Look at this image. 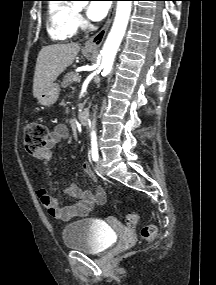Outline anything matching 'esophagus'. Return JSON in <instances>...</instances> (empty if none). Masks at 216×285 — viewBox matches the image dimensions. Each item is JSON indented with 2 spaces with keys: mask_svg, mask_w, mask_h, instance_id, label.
Masks as SVG:
<instances>
[{
  "mask_svg": "<svg viewBox=\"0 0 216 285\" xmlns=\"http://www.w3.org/2000/svg\"><path fill=\"white\" fill-rule=\"evenodd\" d=\"M114 11H115V5L113 4L110 11H109V14H108V17H107V20L105 22V24L103 25V27L95 34L93 35L84 45V48L87 49V50H94V49H97L101 46V44L103 43L104 39H105V36L108 32V29L110 27V24L112 22V18L114 16Z\"/></svg>",
  "mask_w": 216,
  "mask_h": 285,
  "instance_id": "1",
  "label": "esophagus"
}]
</instances>
